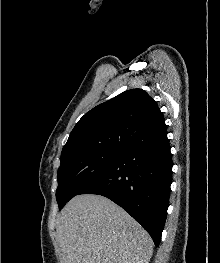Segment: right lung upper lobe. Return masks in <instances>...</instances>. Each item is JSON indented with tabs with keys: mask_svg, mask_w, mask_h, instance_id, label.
<instances>
[{
	"mask_svg": "<svg viewBox=\"0 0 220 263\" xmlns=\"http://www.w3.org/2000/svg\"><path fill=\"white\" fill-rule=\"evenodd\" d=\"M167 132L157 103L142 89H131L94 107L72 130L61 155L92 148L125 149L137 140Z\"/></svg>",
	"mask_w": 220,
	"mask_h": 263,
	"instance_id": "right-lung-upper-lobe-1",
	"label": "right lung upper lobe"
}]
</instances>
